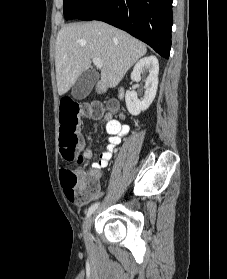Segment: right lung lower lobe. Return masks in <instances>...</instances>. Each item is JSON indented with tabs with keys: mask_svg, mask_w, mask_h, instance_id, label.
<instances>
[{
	"mask_svg": "<svg viewBox=\"0 0 227 279\" xmlns=\"http://www.w3.org/2000/svg\"><path fill=\"white\" fill-rule=\"evenodd\" d=\"M78 19L109 23L169 58L172 0H94Z\"/></svg>",
	"mask_w": 227,
	"mask_h": 279,
	"instance_id": "obj_1",
	"label": "right lung lower lobe"
}]
</instances>
